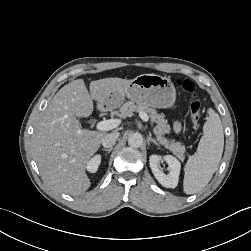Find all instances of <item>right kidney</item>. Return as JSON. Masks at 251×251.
Segmentation results:
<instances>
[{"label":"right kidney","mask_w":251,"mask_h":251,"mask_svg":"<svg viewBox=\"0 0 251 251\" xmlns=\"http://www.w3.org/2000/svg\"><path fill=\"white\" fill-rule=\"evenodd\" d=\"M100 163L101 156L96 155L88 161V163L86 164V169L91 173H95L98 170Z\"/></svg>","instance_id":"ca27d5eb"}]
</instances>
